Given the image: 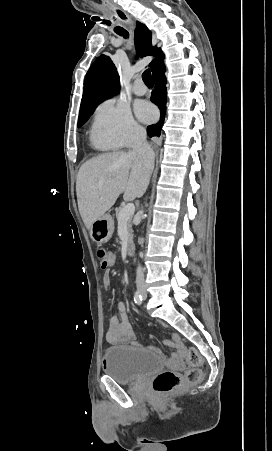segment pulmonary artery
Returning <instances> with one entry per match:
<instances>
[{
	"instance_id": "e3ab8cb5",
	"label": "pulmonary artery",
	"mask_w": 272,
	"mask_h": 451,
	"mask_svg": "<svg viewBox=\"0 0 272 451\" xmlns=\"http://www.w3.org/2000/svg\"><path fill=\"white\" fill-rule=\"evenodd\" d=\"M144 87H143V82L141 80H138L136 82V87L133 89V93L137 96H142L145 94Z\"/></svg>"
}]
</instances>
